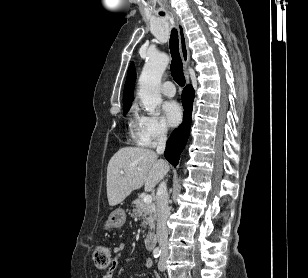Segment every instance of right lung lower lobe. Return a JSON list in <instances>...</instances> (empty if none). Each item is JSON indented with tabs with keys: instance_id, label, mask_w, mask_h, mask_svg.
<instances>
[{
	"instance_id": "right-lung-lower-lobe-1",
	"label": "right lung lower lobe",
	"mask_w": 308,
	"mask_h": 278,
	"mask_svg": "<svg viewBox=\"0 0 308 278\" xmlns=\"http://www.w3.org/2000/svg\"><path fill=\"white\" fill-rule=\"evenodd\" d=\"M194 96V89L190 85L186 86L182 93L184 122L179 126V128L174 130L166 143L164 156L173 166L178 164L180 153L184 149L189 137Z\"/></svg>"
}]
</instances>
